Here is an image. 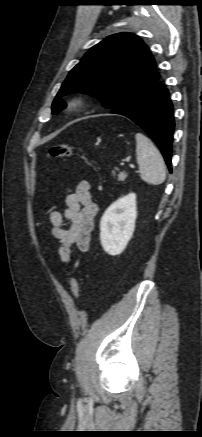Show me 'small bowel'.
Wrapping results in <instances>:
<instances>
[{
  "mask_svg": "<svg viewBox=\"0 0 202 437\" xmlns=\"http://www.w3.org/2000/svg\"><path fill=\"white\" fill-rule=\"evenodd\" d=\"M91 186L86 180L80 181L74 190H68L65 210L61 213L51 210L48 213L51 234L59 240L60 260L69 263L76 250L89 249L94 219L98 212L92 200Z\"/></svg>",
  "mask_w": 202,
  "mask_h": 437,
  "instance_id": "1",
  "label": "small bowel"
}]
</instances>
